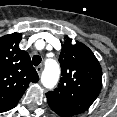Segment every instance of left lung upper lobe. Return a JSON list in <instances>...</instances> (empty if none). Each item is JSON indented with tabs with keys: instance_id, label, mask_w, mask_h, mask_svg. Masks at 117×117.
Listing matches in <instances>:
<instances>
[{
	"instance_id": "obj_1",
	"label": "left lung upper lobe",
	"mask_w": 117,
	"mask_h": 117,
	"mask_svg": "<svg viewBox=\"0 0 117 117\" xmlns=\"http://www.w3.org/2000/svg\"><path fill=\"white\" fill-rule=\"evenodd\" d=\"M60 83L46 93L47 100L61 102L79 113L86 111L95 101L102 86L101 66L92 51L80 42H64L59 56Z\"/></svg>"
}]
</instances>
